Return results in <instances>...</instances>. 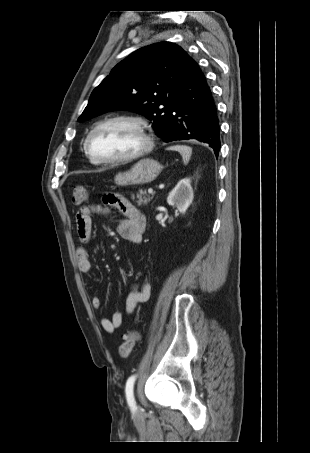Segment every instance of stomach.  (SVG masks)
Masks as SVG:
<instances>
[{"label":"stomach","mask_w":310,"mask_h":453,"mask_svg":"<svg viewBox=\"0 0 310 453\" xmlns=\"http://www.w3.org/2000/svg\"><path fill=\"white\" fill-rule=\"evenodd\" d=\"M161 164L151 158L138 161L130 170L116 174L114 181L118 186L143 185L152 182L161 173Z\"/></svg>","instance_id":"obj_1"}]
</instances>
